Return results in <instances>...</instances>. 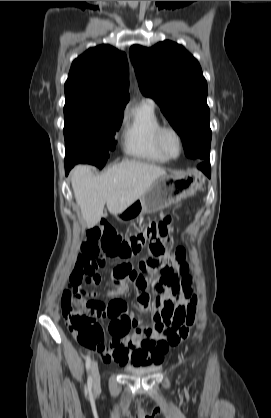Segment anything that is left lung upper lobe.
<instances>
[{
    "label": "left lung upper lobe",
    "mask_w": 271,
    "mask_h": 418,
    "mask_svg": "<svg viewBox=\"0 0 271 418\" xmlns=\"http://www.w3.org/2000/svg\"><path fill=\"white\" fill-rule=\"evenodd\" d=\"M141 92L153 98L180 135L185 155L209 159L211 129L207 82L198 61L185 48L163 41L129 51Z\"/></svg>",
    "instance_id": "left-lung-upper-lobe-1"
}]
</instances>
